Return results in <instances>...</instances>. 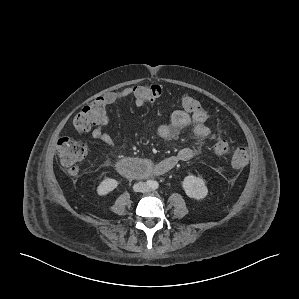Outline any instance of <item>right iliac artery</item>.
Masks as SVG:
<instances>
[{"mask_svg": "<svg viewBox=\"0 0 299 299\" xmlns=\"http://www.w3.org/2000/svg\"><path fill=\"white\" fill-rule=\"evenodd\" d=\"M146 184L148 185V186H152V184H153V182L151 181V180H148L147 182H146Z\"/></svg>", "mask_w": 299, "mask_h": 299, "instance_id": "right-iliac-artery-1", "label": "right iliac artery"}]
</instances>
